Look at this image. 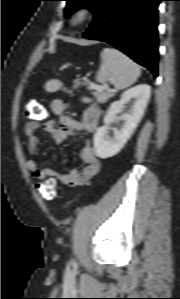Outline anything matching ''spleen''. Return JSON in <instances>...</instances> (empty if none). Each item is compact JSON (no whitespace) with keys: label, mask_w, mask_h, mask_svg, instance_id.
<instances>
[{"label":"spleen","mask_w":180,"mask_h":299,"mask_svg":"<svg viewBox=\"0 0 180 299\" xmlns=\"http://www.w3.org/2000/svg\"><path fill=\"white\" fill-rule=\"evenodd\" d=\"M140 76V67L129 57L115 48H104L101 52V65L96 74V81H111L118 90L125 89L136 82ZM48 87L55 91L61 87L58 80H52Z\"/></svg>","instance_id":"obj_1"}]
</instances>
